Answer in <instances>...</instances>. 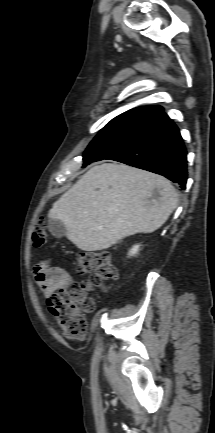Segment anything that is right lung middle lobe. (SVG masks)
I'll use <instances>...</instances> for the list:
<instances>
[{
  "instance_id": "right-lung-middle-lobe-1",
  "label": "right lung middle lobe",
  "mask_w": 215,
  "mask_h": 433,
  "mask_svg": "<svg viewBox=\"0 0 215 433\" xmlns=\"http://www.w3.org/2000/svg\"><path fill=\"white\" fill-rule=\"evenodd\" d=\"M147 121L141 118L111 120L89 144L83 155V166L103 160L124 148L142 130Z\"/></svg>"
}]
</instances>
